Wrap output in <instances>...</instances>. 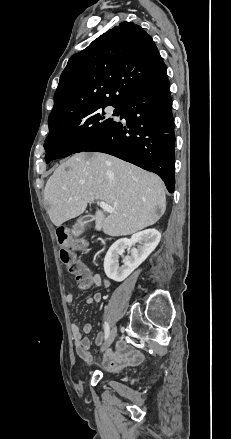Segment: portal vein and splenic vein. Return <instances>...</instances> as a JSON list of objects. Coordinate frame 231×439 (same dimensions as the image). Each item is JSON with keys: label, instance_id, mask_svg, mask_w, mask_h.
Instances as JSON below:
<instances>
[{"label": "portal vein and splenic vein", "instance_id": "obj_1", "mask_svg": "<svg viewBox=\"0 0 231 439\" xmlns=\"http://www.w3.org/2000/svg\"><path fill=\"white\" fill-rule=\"evenodd\" d=\"M99 206H100L104 211H107V212H109V213H113V212H115V209H114L112 206L108 205L107 203H105V202H103V201H101V202L99 203Z\"/></svg>", "mask_w": 231, "mask_h": 439}]
</instances>
